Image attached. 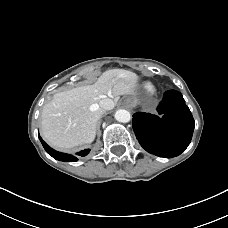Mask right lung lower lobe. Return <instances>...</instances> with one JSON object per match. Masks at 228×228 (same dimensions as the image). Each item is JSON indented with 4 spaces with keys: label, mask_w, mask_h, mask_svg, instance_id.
Segmentation results:
<instances>
[{
    "label": "right lung lower lobe",
    "mask_w": 228,
    "mask_h": 228,
    "mask_svg": "<svg viewBox=\"0 0 228 228\" xmlns=\"http://www.w3.org/2000/svg\"><path fill=\"white\" fill-rule=\"evenodd\" d=\"M39 139L44 147V149L46 150V152L51 155L53 158H55L56 160H60V161H65V162H75L78 160L79 156H86L89 152L90 149H86V150H82L80 152L77 153V155H71V154H66V153H61L58 151H55L54 149H52L50 146H48L43 140L42 138L39 136Z\"/></svg>",
    "instance_id": "obj_1"
}]
</instances>
